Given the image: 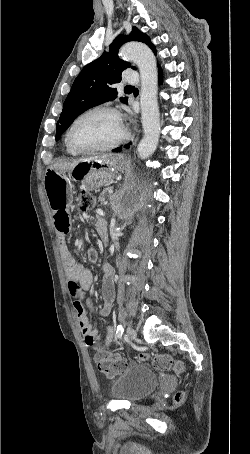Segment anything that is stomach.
Returning <instances> with one entry per match:
<instances>
[{
  "instance_id": "stomach-1",
  "label": "stomach",
  "mask_w": 250,
  "mask_h": 454,
  "mask_svg": "<svg viewBox=\"0 0 250 454\" xmlns=\"http://www.w3.org/2000/svg\"><path fill=\"white\" fill-rule=\"evenodd\" d=\"M126 167L127 161L123 157L105 155L95 160L79 162L70 167L66 164H55L46 170L45 176H76V179L80 180L86 189H95L109 184L115 174Z\"/></svg>"
}]
</instances>
